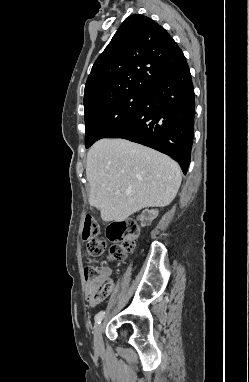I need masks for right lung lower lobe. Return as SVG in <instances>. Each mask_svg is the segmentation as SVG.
<instances>
[{
	"label": "right lung lower lobe",
	"mask_w": 249,
	"mask_h": 382,
	"mask_svg": "<svg viewBox=\"0 0 249 382\" xmlns=\"http://www.w3.org/2000/svg\"><path fill=\"white\" fill-rule=\"evenodd\" d=\"M194 88L188 64L147 91L141 109L106 138H123L175 159L186 174L194 137Z\"/></svg>",
	"instance_id": "obj_1"
}]
</instances>
